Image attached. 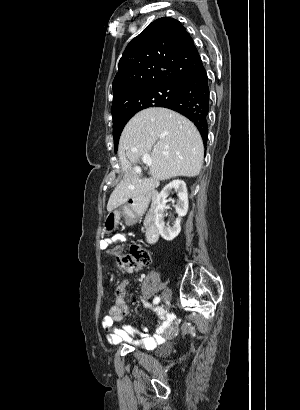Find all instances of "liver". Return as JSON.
<instances>
[{
  "mask_svg": "<svg viewBox=\"0 0 300 410\" xmlns=\"http://www.w3.org/2000/svg\"><path fill=\"white\" fill-rule=\"evenodd\" d=\"M149 154L151 178L140 179L134 165ZM123 180L110 195L108 212L157 188L160 181L177 176L194 177L201 170L204 147L194 124L166 108H148L125 126L118 147Z\"/></svg>",
  "mask_w": 300,
  "mask_h": 410,
  "instance_id": "liver-1",
  "label": "liver"
}]
</instances>
